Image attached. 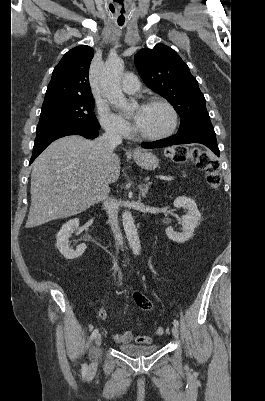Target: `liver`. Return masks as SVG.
<instances>
[{"label": "liver", "instance_id": "6515ba94", "mask_svg": "<svg viewBox=\"0 0 265 401\" xmlns=\"http://www.w3.org/2000/svg\"><path fill=\"white\" fill-rule=\"evenodd\" d=\"M119 174L120 158L108 150L101 136L95 140L83 136L54 140L32 164L26 229L83 213L102 201L100 188L116 182Z\"/></svg>", "mask_w": 265, "mask_h": 401}]
</instances>
